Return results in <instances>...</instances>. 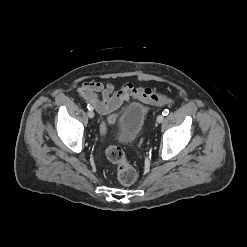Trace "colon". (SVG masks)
<instances>
[{
  "mask_svg": "<svg viewBox=\"0 0 247 247\" xmlns=\"http://www.w3.org/2000/svg\"><path fill=\"white\" fill-rule=\"evenodd\" d=\"M106 158L118 165L117 178L123 185L129 186L136 181V170L129 164L124 151L119 146H109L106 150Z\"/></svg>",
  "mask_w": 247,
  "mask_h": 247,
  "instance_id": "1",
  "label": "colon"
}]
</instances>
